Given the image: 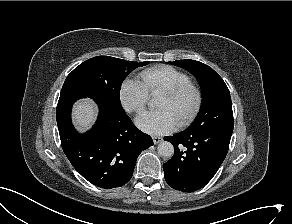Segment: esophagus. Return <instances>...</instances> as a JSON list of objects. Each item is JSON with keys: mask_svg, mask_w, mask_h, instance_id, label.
Masks as SVG:
<instances>
[{"mask_svg": "<svg viewBox=\"0 0 292 224\" xmlns=\"http://www.w3.org/2000/svg\"><path fill=\"white\" fill-rule=\"evenodd\" d=\"M152 139H153L154 144H158L163 141V138L159 136H153Z\"/></svg>", "mask_w": 292, "mask_h": 224, "instance_id": "1", "label": "esophagus"}]
</instances>
